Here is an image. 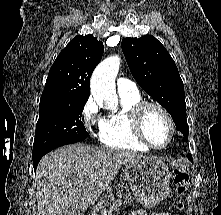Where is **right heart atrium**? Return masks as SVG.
<instances>
[{"mask_svg": "<svg viewBox=\"0 0 221 215\" xmlns=\"http://www.w3.org/2000/svg\"><path fill=\"white\" fill-rule=\"evenodd\" d=\"M81 115L86 130L100 135L104 119L100 113V106L94 97L91 96L87 99L82 107Z\"/></svg>", "mask_w": 221, "mask_h": 215, "instance_id": "obj_1", "label": "right heart atrium"}]
</instances>
